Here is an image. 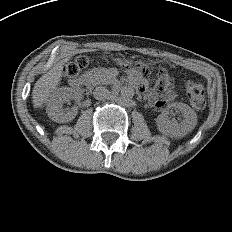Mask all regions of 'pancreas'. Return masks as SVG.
Masks as SVG:
<instances>
[{
    "label": "pancreas",
    "mask_w": 232,
    "mask_h": 232,
    "mask_svg": "<svg viewBox=\"0 0 232 232\" xmlns=\"http://www.w3.org/2000/svg\"><path fill=\"white\" fill-rule=\"evenodd\" d=\"M102 74L110 78V75L106 73L105 71H102Z\"/></svg>",
    "instance_id": "obj_1"
}]
</instances>
